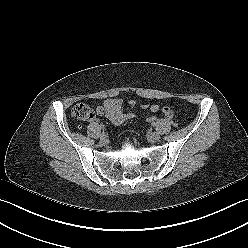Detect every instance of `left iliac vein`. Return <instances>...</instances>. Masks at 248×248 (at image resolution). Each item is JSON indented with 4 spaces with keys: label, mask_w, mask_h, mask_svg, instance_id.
<instances>
[{
    "label": "left iliac vein",
    "mask_w": 248,
    "mask_h": 248,
    "mask_svg": "<svg viewBox=\"0 0 248 248\" xmlns=\"http://www.w3.org/2000/svg\"><path fill=\"white\" fill-rule=\"evenodd\" d=\"M150 139L152 141L157 142L160 139V134L158 132H153V133L150 134Z\"/></svg>",
    "instance_id": "left-iliac-vein-1"
}]
</instances>
